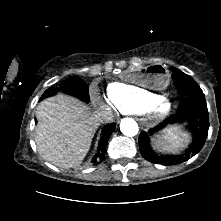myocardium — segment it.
<instances>
[{"instance_id":"1","label":"myocardium","mask_w":221,"mask_h":221,"mask_svg":"<svg viewBox=\"0 0 221 221\" xmlns=\"http://www.w3.org/2000/svg\"><path fill=\"white\" fill-rule=\"evenodd\" d=\"M164 103L168 104V108L166 110H161L160 108ZM172 109L173 104L171 100L165 96H159L156 100L148 105L146 111L152 119L160 120L166 118L171 113Z\"/></svg>"}]
</instances>
